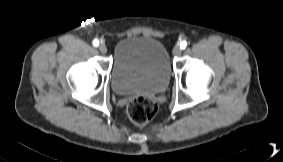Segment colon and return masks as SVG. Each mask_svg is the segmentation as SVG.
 I'll return each instance as SVG.
<instances>
[{
  "instance_id": "1",
  "label": "colon",
  "mask_w": 283,
  "mask_h": 162,
  "mask_svg": "<svg viewBox=\"0 0 283 162\" xmlns=\"http://www.w3.org/2000/svg\"><path fill=\"white\" fill-rule=\"evenodd\" d=\"M157 104L148 97H136L127 107L129 119L138 126L149 123L157 113Z\"/></svg>"
}]
</instances>
